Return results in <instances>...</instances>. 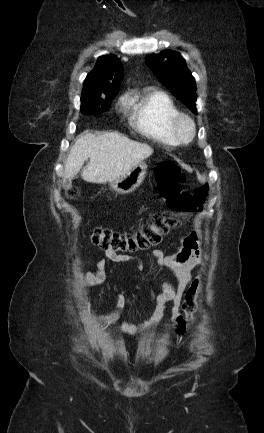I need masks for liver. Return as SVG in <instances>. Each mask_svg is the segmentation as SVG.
<instances>
[{"mask_svg":"<svg viewBox=\"0 0 264 433\" xmlns=\"http://www.w3.org/2000/svg\"><path fill=\"white\" fill-rule=\"evenodd\" d=\"M152 154L153 149L148 144L130 140L118 132L98 136L83 133L70 149L64 166L65 178H74L89 158L82 179L90 183L111 182Z\"/></svg>","mask_w":264,"mask_h":433,"instance_id":"obj_1","label":"liver"}]
</instances>
